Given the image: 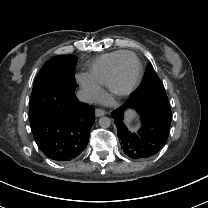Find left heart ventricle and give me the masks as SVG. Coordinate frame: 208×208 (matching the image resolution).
Listing matches in <instances>:
<instances>
[{
    "mask_svg": "<svg viewBox=\"0 0 208 208\" xmlns=\"http://www.w3.org/2000/svg\"><path fill=\"white\" fill-rule=\"evenodd\" d=\"M138 67V63L133 60L123 68L120 74V82L123 86H127L133 82L137 76Z\"/></svg>",
    "mask_w": 208,
    "mask_h": 208,
    "instance_id": "obj_1",
    "label": "left heart ventricle"
}]
</instances>
